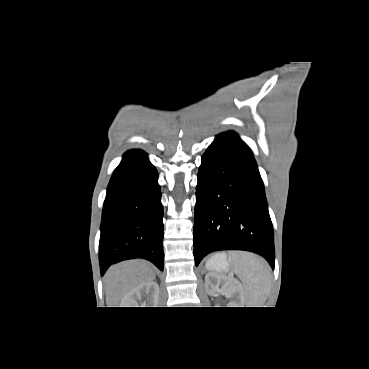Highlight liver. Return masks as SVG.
I'll return each instance as SVG.
<instances>
[{"mask_svg":"<svg viewBox=\"0 0 369 369\" xmlns=\"http://www.w3.org/2000/svg\"><path fill=\"white\" fill-rule=\"evenodd\" d=\"M153 266L143 260H129L111 266L105 274L107 307H117L122 298L142 283L155 279Z\"/></svg>","mask_w":369,"mask_h":369,"instance_id":"obj_1","label":"liver"}]
</instances>
